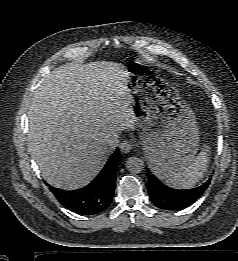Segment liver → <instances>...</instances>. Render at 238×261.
Masks as SVG:
<instances>
[{"mask_svg":"<svg viewBox=\"0 0 238 261\" xmlns=\"http://www.w3.org/2000/svg\"><path fill=\"white\" fill-rule=\"evenodd\" d=\"M127 75L119 63H75L54 69L36 89L27 147L50 185L74 190L89 184L111 154L106 138L135 128Z\"/></svg>","mask_w":238,"mask_h":261,"instance_id":"liver-1","label":"liver"}]
</instances>
